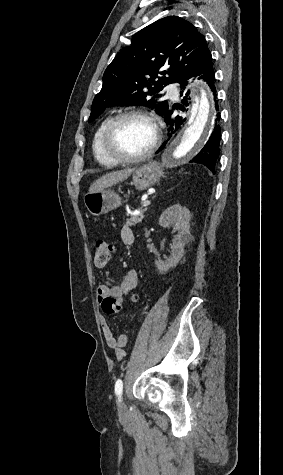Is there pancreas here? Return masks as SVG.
Returning a JSON list of instances; mask_svg holds the SVG:
<instances>
[{
  "label": "pancreas",
  "instance_id": "pancreas-1",
  "mask_svg": "<svg viewBox=\"0 0 283 475\" xmlns=\"http://www.w3.org/2000/svg\"><path fill=\"white\" fill-rule=\"evenodd\" d=\"M144 212H147V210H144V208H139V214H130V218H127L125 226H135V224H141L143 218H144ZM129 216V214H127Z\"/></svg>",
  "mask_w": 283,
  "mask_h": 475
}]
</instances>
